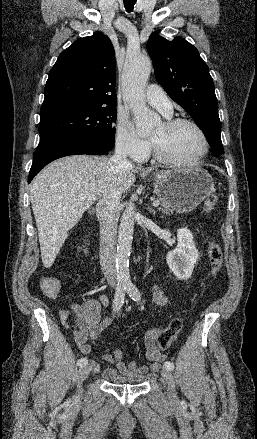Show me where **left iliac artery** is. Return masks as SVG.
<instances>
[{"label": "left iliac artery", "mask_w": 257, "mask_h": 439, "mask_svg": "<svg viewBox=\"0 0 257 439\" xmlns=\"http://www.w3.org/2000/svg\"><path fill=\"white\" fill-rule=\"evenodd\" d=\"M125 289H126L127 293L129 294V296L134 301H140L141 294H140L138 288L132 282H127L125 284ZM164 368L169 370V371H172L174 369V364L170 361H166L164 363Z\"/></svg>", "instance_id": "obj_1"}]
</instances>
